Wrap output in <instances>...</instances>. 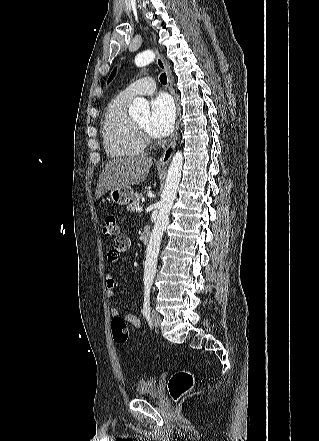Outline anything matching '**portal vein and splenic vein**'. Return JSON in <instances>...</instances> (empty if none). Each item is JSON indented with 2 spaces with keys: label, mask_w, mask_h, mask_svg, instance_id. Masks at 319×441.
<instances>
[{
  "label": "portal vein and splenic vein",
  "mask_w": 319,
  "mask_h": 441,
  "mask_svg": "<svg viewBox=\"0 0 319 441\" xmlns=\"http://www.w3.org/2000/svg\"><path fill=\"white\" fill-rule=\"evenodd\" d=\"M142 210H143V208H142L141 206H138V207L136 208V212H142Z\"/></svg>",
  "instance_id": "1"
}]
</instances>
